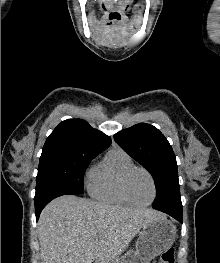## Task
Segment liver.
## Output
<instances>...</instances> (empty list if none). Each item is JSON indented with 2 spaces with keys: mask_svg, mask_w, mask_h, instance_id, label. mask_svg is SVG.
Returning <instances> with one entry per match:
<instances>
[{
  "mask_svg": "<svg viewBox=\"0 0 220 263\" xmlns=\"http://www.w3.org/2000/svg\"><path fill=\"white\" fill-rule=\"evenodd\" d=\"M162 214L64 195L38 221L41 263H117L140 229Z\"/></svg>",
  "mask_w": 220,
  "mask_h": 263,
  "instance_id": "liver-1",
  "label": "liver"
}]
</instances>
